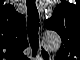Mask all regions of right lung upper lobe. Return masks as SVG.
<instances>
[{
    "label": "right lung upper lobe",
    "mask_w": 80,
    "mask_h": 60,
    "mask_svg": "<svg viewBox=\"0 0 80 60\" xmlns=\"http://www.w3.org/2000/svg\"><path fill=\"white\" fill-rule=\"evenodd\" d=\"M1 32L5 46L23 54V50L28 46L26 21L24 16L10 5L2 7Z\"/></svg>",
    "instance_id": "cb5924a9"
}]
</instances>
